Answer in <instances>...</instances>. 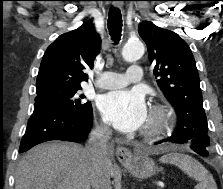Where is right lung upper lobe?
Returning <instances> with one entry per match:
<instances>
[{
  "label": "right lung upper lobe",
  "mask_w": 223,
  "mask_h": 189,
  "mask_svg": "<svg viewBox=\"0 0 223 189\" xmlns=\"http://www.w3.org/2000/svg\"><path fill=\"white\" fill-rule=\"evenodd\" d=\"M101 40L90 21L60 35L45 51L36 80V92L56 88L81 87L88 81L87 69L93 67V57Z\"/></svg>",
  "instance_id": "cb5924a9"
}]
</instances>
